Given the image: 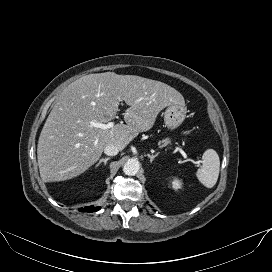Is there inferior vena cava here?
Segmentation results:
<instances>
[{
    "instance_id": "obj_1",
    "label": "inferior vena cava",
    "mask_w": 272,
    "mask_h": 272,
    "mask_svg": "<svg viewBox=\"0 0 272 272\" xmlns=\"http://www.w3.org/2000/svg\"><path fill=\"white\" fill-rule=\"evenodd\" d=\"M119 152V148L114 144H109L104 148V153L108 156H115Z\"/></svg>"
}]
</instances>
